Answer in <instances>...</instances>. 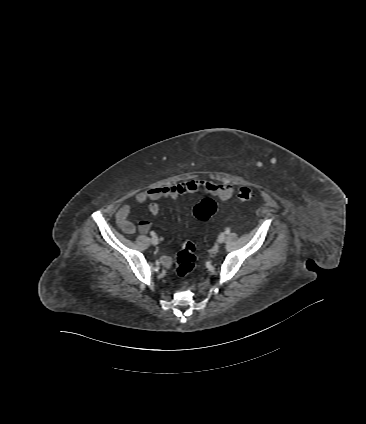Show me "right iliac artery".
<instances>
[{
    "mask_svg": "<svg viewBox=\"0 0 366 424\" xmlns=\"http://www.w3.org/2000/svg\"><path fill=\"white\" fill-rule=\"evenodd\" d=\"M150 235H151V236H155V232H153V231H152V232L150 233Z\"/></svg>",
    "mask_w": 366,
    "mask_h": 424,
    "instance_id": "1",
    "label": "right iliac artery"
}]
</instances>
